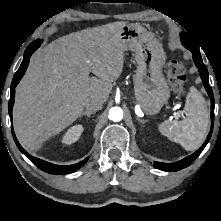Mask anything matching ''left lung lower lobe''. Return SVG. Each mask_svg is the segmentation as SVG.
Here are the masks:
<instances>
[{
  "instance_id": "0a47b994",
  "label": "left lung lower lobe",
  "mask_w": 221,
  "mask_h": 221,
  "mask_svg": "<svg viewBox=\"0 0 221 221\" xmlns=\"http://www.w3.org/2000/svg\"><path fill=\"white\" fill-rule=\"evenodd\" d=\"M193 60L195 65L198 67L201 79L203 81L204 87L206 89V91L208 92L210 98H211V130L210 133L207 136V139L205 141V143L202 145V147L197 150L195 153H193L192 155L184 158L183 160L176 162V163H161V162H154V167L160 169V170H164V171H168V172H173V171H178L181 170L187 166H189L190 164L193 163V161L200 155V153L203 151V149L205 148V146L207 145V143L209 142V139L211 137L212 134V130H213V124H214V96H213V92L211 89V86L209 84L208 81V71L206 66L204 65L201 55L193 53Z\"/></svg>"
}]
</instances>
